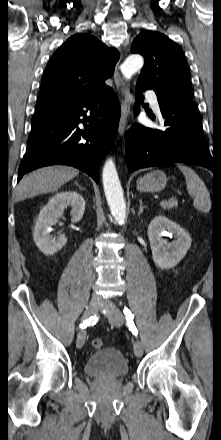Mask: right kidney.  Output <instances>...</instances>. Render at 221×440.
<instances>
[{
	"label": "right kidney",
	"mask_w": 221,
	"mask_h": 440,
	"mask_svg": "<svg viewBox=\"0 0 221 440\" xmlns=\"http://www.w3.org/2000/svg\"><path fill=\"white\" fill-rule=\"evenodd\" d=\"M71 206L72 222L81 220L85 210L84 198L75 191H62L51 197L46 206L42 208L38 215L33 238L39 250L45 255H53L58 252L67 242L64 234L58 237L50 235L51 227L55 225L64 210Z\"/></svg>",
	"instance_id": "1"
}]
</instances>
